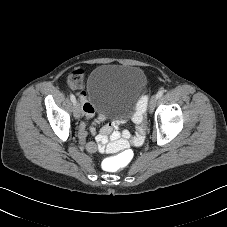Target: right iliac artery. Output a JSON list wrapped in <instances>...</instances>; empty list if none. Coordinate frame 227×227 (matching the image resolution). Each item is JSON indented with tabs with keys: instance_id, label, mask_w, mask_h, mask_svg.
I'll return each instance as SVG.
<instances>
[{
	"instance_id": "1",
	"label": "right iliac artery",
	"mask_w": 227,
	"mask_h": 227,
	"mask_svg": "<svg viewBox=\"0 0 227 227\" xmlns=\"http://www.w3.org/2000/svg\"><path fill=\"white\" fill-rule=\"evenodd\" d=\"M70 99H71V101L73 102V104L75 105V103H76V98H75V96H74L73 94L70 95Z\"/></svg>"
}]
</instances>
